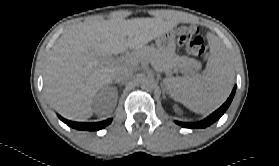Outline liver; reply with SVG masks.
Instances as JSON below:
<instances>
[{"label": "liver", "mask_w": 279, "mask_h": 166, "mask_svg": "<svg viewBox=\"0 0 279 166\" xmlns=\"http://www.w3.org/2000/svg\"><path fill=\"white\" fill-rule=\"evenodd\" d=\"M174 11L165 17L103 19L93 16L64 31L49 52L44 77L45 94L65 118L85 121L93 115L95 93L112 82L126 64L106 63L105 57L139 50L172 30L178 20Z\"/></svg>", "instance_id": "1"}]
</instances>
